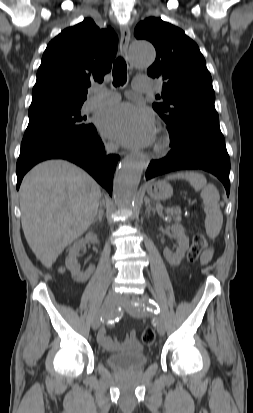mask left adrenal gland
<instances>
[{
	"mask_svg": "<svg viewBox=\"0 0 253 413\" xmlns=\"http://www.w3.org/2000/svg\"><path fill=\"white\" fill-rule=\"evenodd\" d=\"M146 214L150 215L151 212H155V209L152 208L151 204L149 202H146Z\"/></svg>",
	"mask_w": 253,
	"mask_h": 413,
	"instance_id": "obj_1",
	"label": "left adrenal gland"
}]
</instances>
